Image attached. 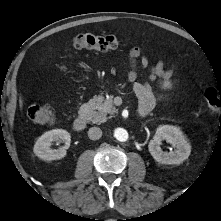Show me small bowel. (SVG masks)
I'll return each instance as SVG.
<instances>
[{
  "instance_id": "small-bowel-1",
  "label": "small bowel",
  "mask_w": 221,
  "mask_h": 221,
  "mask_svg": "<svg viewBox=\"0 0 221 221\" xmlns=\"http://www.w3.org/2000/svg\"><path fill=\"white\" fill-rule=\"evenodd\" d=\"M146 68L148 59L143 51L134 47L129 51V71L127 75L128 81L132 84L133 90L139 99V112L142 115L149 113L157 100V95L153 92L150 85L137 81V67ZM175 67L165 68L162 61L157 62L151 67L150 80L156 82L162 90L172 89L176 85L173 77Z\"/></svg>"
}]
</instances>
